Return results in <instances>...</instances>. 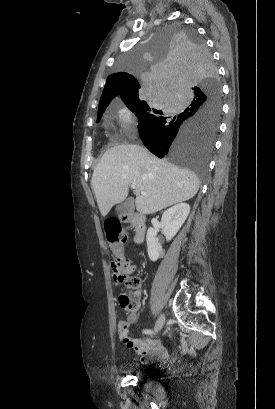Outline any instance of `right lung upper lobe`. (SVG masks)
I'll list each match as a JSON object with an SVG mask.
<instances>
[{
	"mask_svg": "<svg viewBox=\"0 0 275 409\" xmlns=\"http://www.w3.org/2000/svg\"><path fill=\"white\" fill-rule=\"evenodd\" d=\"M139 89V82L129 73H114L110 75L106 80L98 112L106 109L111 100L118 94L122 100L139 96Z\"/></svg>",
	"mask_w": 275,
	"mask_h": 409,
	"instance_id": "obj_1",
	"label": "right lung upper lobe"
}]
</instances>
